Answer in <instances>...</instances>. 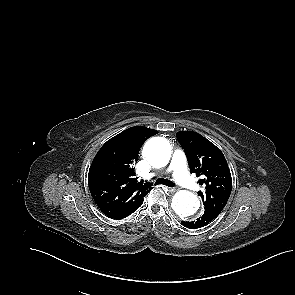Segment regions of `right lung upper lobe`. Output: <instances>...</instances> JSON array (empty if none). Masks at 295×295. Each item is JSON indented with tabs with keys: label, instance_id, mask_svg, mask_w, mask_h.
Listing matches in <instances>:
<instances>
[{
	"label": "right lung upper lobe",
	"instance_id": "1",
	"mask_svg": "<svg viewBox=\"0 0 295 295\" xmlns=\"http://www.w3.org/2000/svg\"><path fill=\"white\" fill-rule=\"evenodd\" d=\"M158 132L134 126L108 140L98 151L89 169L91 195L107 216L135 211L152 189L150 183L137 181L134 165L143 143Z\"/></svg>",
	"mask_w": 295,
	"mask_h": 295
}]
</instances>
